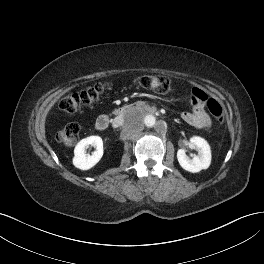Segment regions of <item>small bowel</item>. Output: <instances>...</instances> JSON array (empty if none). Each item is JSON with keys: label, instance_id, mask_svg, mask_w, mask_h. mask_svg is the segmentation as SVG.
<instances>
[{"label": "small bowel", "instance_id": "small-bowel-1", "mask_svg": "<svg viewBox=\"0 0 264 264\" xmlns=\"http://www.w3.org/2000/svg\"><path fill=\"white\" fill-rule=\"evenodd\" d=\"M206 100L207 95L204 91L193 88L190 96L192 110L182 112L181 118L189 125L198 129L209 127L210 117L205 110Z\"/></svg>", "mask_w": 264, "mask_h": 264}]
</instances>
